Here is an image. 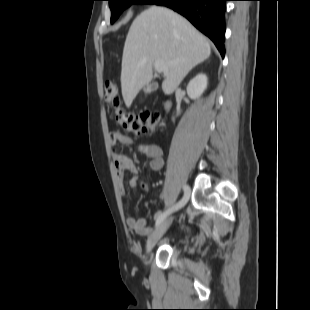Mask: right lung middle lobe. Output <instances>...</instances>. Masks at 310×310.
I'll use <instances>...</instances> for the list:
<instances>
[{"label":"right lung middle lobe","instance_id":"dd1d6c3e","mask_svg":"<svg viewBox=\"0 0 310 310\" xmlns=\"http://www.w3.org/2000/svg\"><path fill=\"white\" fill-rule=\"evenodd\" d=\"M154 0H109L111 9V24L114 23L122 11L131 4H152Z\"/></svg>","mask_w":310,"mask_h":310}]
</instances>
